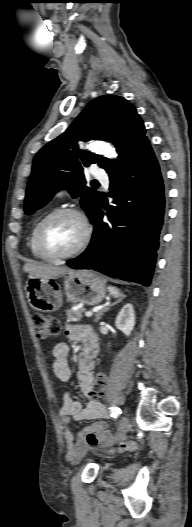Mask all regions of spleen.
<instances>
[{"instance_id":"obj_1","label":"spleen","mask_w":192,"mask_h":527,"mask_svg":"<svg viewBox=\"0 0 192 527\" xmlns=\"http://www.w3.org/2000/svg\"><path fill=\"white\" fill-rule=\"evenodd\" d=\"M108 291H109L110 295H112L114 298H119V297L123 296L121 291L118 288L114 287V286H108Z\"/></svg>"}]
</instances>
